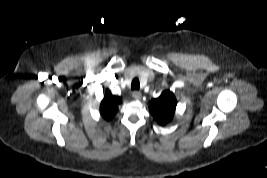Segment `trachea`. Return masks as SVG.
Wrapping results in <instances>:
<instances>
[{
    "label": "trachea",
    "instance_id": "trachea-1",
    "mask_svg": "<svg viewBox=\"0 0 267 178\" xmlns=\"http://www.w3.org/2000/svg\"><path fill=\"white\" fill-rule=\"evenodd\" d=\"M139 80L137 78H134L131 84V89L132 90H138L139 89Z\"/></svg>",
    "mask_w": 267,
    "mask_h": 178
}]
</instances>
